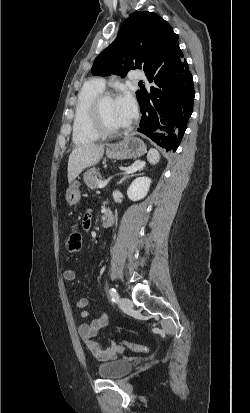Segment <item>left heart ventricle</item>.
Returning <instances> with one entry per match:
<instances>
[{
  "label": "left heart ventricle",
  "mask_w": 250,
  "mask_h": 413,
  "mask_svg": "<svg viewBox=\"0 0 250 413\" xmlns=\"http://www.w3.org/2000/svg\"><path fill=\"white\" fill-rule=\"evenodd\" d=\"M102 112L105 123L108 127L117 129L125 126L119 116L114 98H107L103 102Z\"/></svg>",
  "instance_id": "b2bd125f"
}]
</instances>
